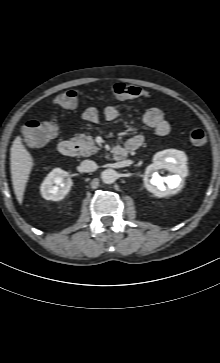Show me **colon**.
Returning <instances> with one entry per match:
<instances>
[{
	"mask_svg": "<svg viewBox=\"0 0 220 363\" xmlns=\"http://www.w3.org/2000/svg\"><path fill=\"white\" fill-rule=\"evenodd\" d=\"M111 94L116 99L143 98L150 99L152 94L141 87L127 83H116L110 87ZM78 101V93L73 89H67L59 93L54 104L64 108L72 109ZM57 125L51 120H32L22 128V136L28 146L43 145L52 140L57 134ZM189 140L196 146H204L207 143L206 133L198 128L191 129L188 134Z\"/></svg>",
	"mask_w": 220,
	"mask_h": 363,
	"instance_id": "1",
	"label": "colon"
}]
</instances>
